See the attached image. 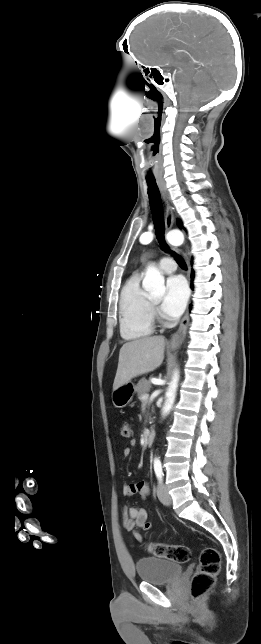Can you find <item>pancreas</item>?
I'll return each mask as SVG.
<instances>
[{"label": "pancreas", "mask_w": 261, "mask_h": 644, "mask_svg": "<svg viewBox=\"0 0 261 644\" xmlns=\"http://www.w3.org/2000/svg\"><path fill=\"white\" fill-rule=\"evenodd\" d=\"M150 389H151V384H150V382H149L148 380H146L145 378H142V379L138 382V384H137V386H136V392H137V395H138V399H139L141 402H144V401H145V400H143V399H142V396H143L144 394H147V393L150 391Z\"/></svg>", "instance_id": "cf45deb5"}]
</instances>
